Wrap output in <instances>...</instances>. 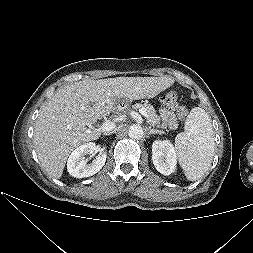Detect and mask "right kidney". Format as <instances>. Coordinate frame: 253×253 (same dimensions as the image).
<instances>
[{"mask_svg": "<svg viewBox=\"0 0 253 253\" xmlns=\"http://www.w3.org/2000/svg\"><path fill=\"white\" fill-rule=\"evenodd\" d=\"M96 150L95 143H85L76 148L68 158L67 170L76 178L90 177L99 172L106 162V152H101L92 163L87 164L86 155H93Z\"/></svg>", "mask_w": 253, "mask_h": 253, "instance_id": "1", "label": "right kidney"}]
</instances>
